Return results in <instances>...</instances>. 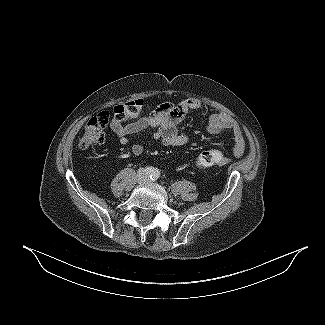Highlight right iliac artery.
Here are the masks:
<instances>
[{
	"mask_svg": "<svg viewBox=\"0 0 325 325\" xmlns=\"http://www.w3.org/2000/svg\"><path fill=\"white\" fill-rule=\"evenodd\" d=\"M145 172L150 175V177L153 175L155 172V169L153 167H146Z\"/></svg>",
	"mask_w": 325,
	"mask_h": 325,
	"instance_id": "82829eb1",
	"label": "right iliac artery"
}]
</instances>
